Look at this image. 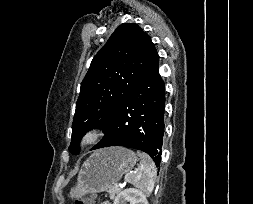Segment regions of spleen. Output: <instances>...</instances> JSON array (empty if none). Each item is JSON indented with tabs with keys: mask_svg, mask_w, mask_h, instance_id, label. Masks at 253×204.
Here are the masks:
<instances>
[{
	"mask_svg": "<svg viewBox=\"0 0 253 204\" xmlns=\"http://www.w3.org/2000/svg\"><path fill=\"white\" fill-rule=\"evenodd\" d=\"M140 163L134 173H127L125 180L139 188L146 194H150L154 189L157 169L151 157L143 152H137Z\"/></svg>",
	"mask_w": 253,
	"mask_h": 204,
	"instance_id": "obj_1",
	"label": "spleen"
}]
</instances>
